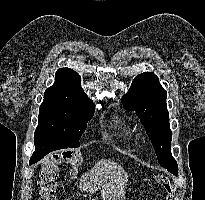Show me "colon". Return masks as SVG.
I'll list each match as a JSON object with an SVG mask.
<instances>
[{
	"label": "colon",
	"instance_id": "colon-1",
	"mask_svg": "<svg viewBox=\"0 0 205 200\" xmlns=\"http://www.w3.org/2000/svg\"><path fill=\"white\" fill-rule=\"evenodd\" d=\"M82 162V155L80 151L73 148L63 150L59 154H55L47 160L40 171V200H55L56 179L59 167L62 163L67 164L71 168V175H75L76 169ZM159 184L170 193L171 186L169 179L161 174L156 175ZM169 200V198H167Z\"/></svg>",
	"mask_w": 205,
	"mask_h": 200
}]
</instances>
